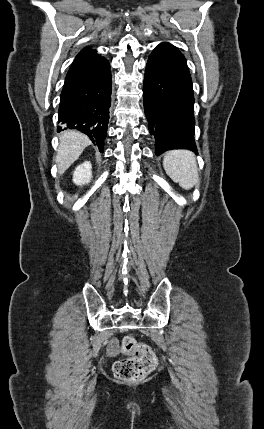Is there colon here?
Segmentation results:
<instances>
[{"label": "colon", "instance_id": "1", "mask_svg": "<svg viewBox=\"0 0 264 429\" xmlns=\"http://www.w3.org/2000/svg\"><path fill=\"white\" fill-rule=\"evenodd\" d=\"M121 351L128 355L114 364V376L121 381L136 382L144 379L157 366V357L152 349L136 341L132 336H125L121 342Z\"/></svg>", "mask_w": 264, "mask_h": 429}]
</instances>
